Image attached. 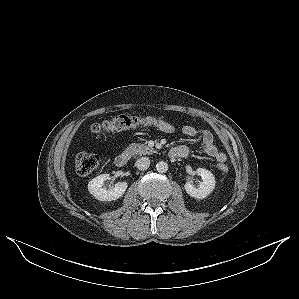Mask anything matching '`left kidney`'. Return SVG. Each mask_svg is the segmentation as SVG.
I'll use <instances>...</instances> for the list:
<instances>
[{
  "label": "left kidney",
  "mask_w": 299,
  "mask_h": 299,
  "mask_svg": "<svg viewBox=\"0 0 299 299\" xmlns=\"http://www.w3.org/2000/svg\"><path fill=\"white\" fill-rule=\"evenodd\" d=\"M196 173L202 177L203 181L198 187L193 186L190 182H186L184 189L191 197L203 199L214 190L216 183L215 177L210 171L203 168H198Z\"/></svg>",
  "instance_id": "left-kidney-1"
}]
</instances>
